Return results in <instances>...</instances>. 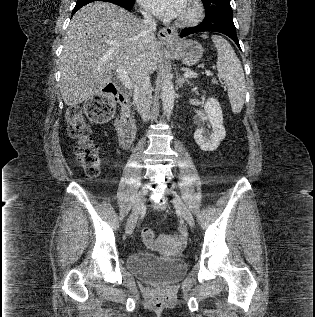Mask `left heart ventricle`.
Listing matches in <instances>:
<instances>
[{
    "instance_id": "b2bd125f",
    "label": "left heart ventricle",
    "mask_w": 315,
    "mask_h": 317,
    "mask_svg": "<svg viewBox=\"0 0 315 317\" xmlns=\"http://www.w3.org/2000/svg\"><path fill=\"white\" fill-rule=\"evenodd\" d=\"M189 11H190V9H189V6H188L187 1H186L184 8L182 9L181 13L179 14V17H184V16L188 15Z\"/></svg>"
}]
</instances>
